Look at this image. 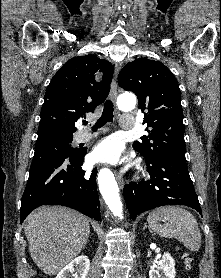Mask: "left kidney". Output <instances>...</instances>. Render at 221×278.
<instances>
[{
  "instance_id": "5707ae66",
  "label": "left kidney",
  "mask_w": 221,
  "mask_h": 278,
  "mask_svg": "<svg viewBox=\"0 0 221 278\" xmlns=\"http://www.w3.org/2000/svg\"><path fill=\"white\" fill-rule=\"evenodd\" d=\"M175 261L167 252L156 268L149 271V278H175Z\"/></svg>"
}]
</instances>
